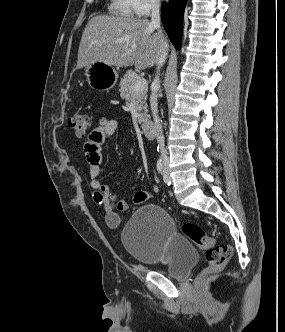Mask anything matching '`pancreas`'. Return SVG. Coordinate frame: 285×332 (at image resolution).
I'll return each mask as SVG.
<instances>
[{
    "label": "pancreas",
    "instance_id": "obj_1",
    "mask_svg": "<svg viewBox=\"0 0 285 332\" xmlns=\"http://www.w3.org/2000/svg\"><path fill=\"white\" fill-rule=\"evenodd\" d=\"M137 74L130 70L128 71L124 77L120 81V95L122 98L126 99V101H130L133 97L136 98V101L138 103V110L140 111L138 122L140 124H144L147 121L148 114H147V89L135 93L134 92V85L136 81L138 80Z\"/></svg>",
    "mask_w": 285,
    "mask_h": 332
}]
</instances>
